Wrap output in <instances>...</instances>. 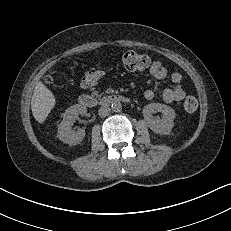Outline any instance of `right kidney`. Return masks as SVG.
<instances>
[{
  "label": "right kidney",
  "instance_id": "1",
  "mask_svg": "<svg viewBox=\"0 0 231 231\" xmlns=\"http://www.w3.org/2000/svg\"><path fill=\"white\" fill-rule=\"evenodd\" d=\"M87 109L81 104L70 106L63 114V120L58 127V138L69 145L79 144L85 137V130L72 131L71 126L78 115H85Z\"/></svg>",
  "mask_w": 231,
  "mask_h": 231
}]
</instances>
